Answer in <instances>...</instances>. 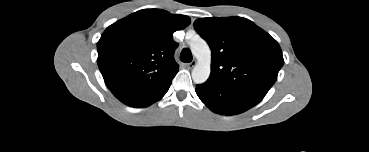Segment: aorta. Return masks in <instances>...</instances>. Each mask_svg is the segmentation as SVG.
I'll return each instance as SVG.
<instances>
[{
    "mask_svg": "<svg viewBox=\"0 0 369 152\" xmlns=\"http://www.w3.org/2000/svg\"><path fill=\"white\" fill-rule=\"evenodd\" d=\"M190 50L197 59V64L192 70V79L196 84L207 81L210 75L211 50L207 42L197 36L189 42Z\"/></svg>",
    "mask_w": 369,
    "mask_h": 152,
    "instance_id": "1",
    "label": "aorta"
}]
</instances>
